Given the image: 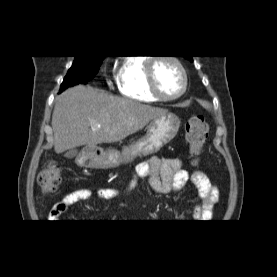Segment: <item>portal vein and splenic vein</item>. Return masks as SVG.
Here are the masks:
<instances>
[{
    "label": "portal vein and splenic vein",
    "mask_w": 277,
    "mask_h": 277,
    "mask_svg": "<svg viewBox=\"0 0 277 277\" xmlns=\"http://www.w3.org/2000/svg\"><path fill=\"white\" fill-rule=\"evenodd\" d=\"M91 124H94V122H91ZM94 129V127H92Z\"/></svg>",
    "instance_id": "18ae733b"
}]
</instances>
